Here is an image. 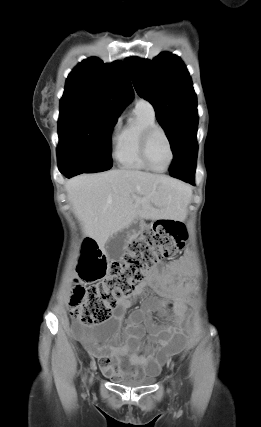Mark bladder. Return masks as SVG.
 <instances>
[{
	"label": "bladder",
	"instance_id": "1",
	"mask_svg": "<svg viewBox=\"0 0 261 427\" xmlns=\"http://www.w3.org/2000/svg\"><path fill=\"white\" fill-rule=\"evenodd\" d=\"M155 382L154 376H140L138 378L128 379L121 382L122 385L129 387L149 386Z\"/></svg>",
	"mask_w": 261,
	"mask_h": 427
}]
</instances>
